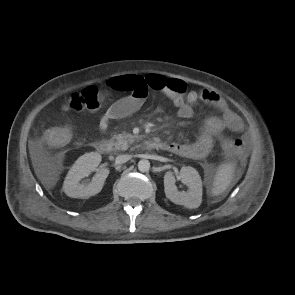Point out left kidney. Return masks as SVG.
Segmentation results:
<instances>
[{
  "mask_svg": "<svg viewBox=\"0 0 295 295\" xmlns=\"http://www.w3.org/2000/svg\"><path fill=\"white\" fill-rule=\"evenodd\" d=\"M178 177L188 187V191H178L175 176L172 172H166L164 175L166 197L177 205L189 209L198 208L202 202V180L199 173L193 167L183 166Z\"/></svg>",
  "mask_w": 295,
  "mask_h": 295,
  "instance_id": "obj_1",
  "label": "left kidney"
}]
</instances>
